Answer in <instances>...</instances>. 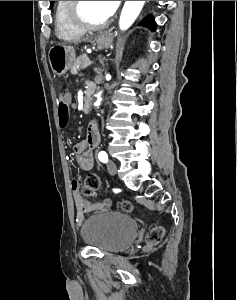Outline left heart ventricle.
Instances as JSON below:
<instances>
[{
    "label": "left heart ventricle",
    "mask_w": 237,
    "mask_h": 300,
    "mask_svg": "<svg viewBox=\"0 0 237 300\" xmlns=\"http://www.w3.org/2000/svg\"><path fill=\"white\" fill-rule=\"evenodd\" d=\"M84 18L93 24H99L112 16L106 1H83Z\"/></svg>",
    "instance_id": "obj_1"
}]
</instances>
